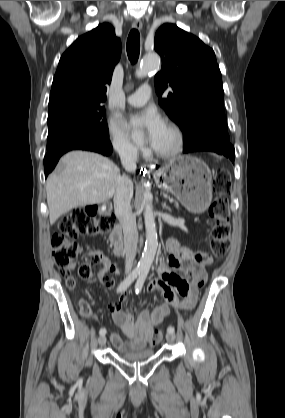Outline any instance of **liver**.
<instances>
[{
    "mask_svg": "<svg viewBox=\"0 0 285 418\" xmlns=\"http://www.w3.org/2000/svg\"><path fill=\"white\" fill-rule=\"evenodd\" d=\"M61 170L46 181L50 224L78 206L101 204L115 194L120 169L99 154L75 150L59 161Z\"/></svg>",
    "mask_w": 285,
    "mask_h": 418,
    "instance_id": "6515ba94",
    "label": "liver"
}]
</instances>
